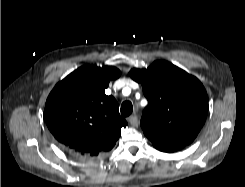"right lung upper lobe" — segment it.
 I'll list each match as a JSON object with an SVG mask.
<instances>
[{
  "instance_id": "right-lung-upper-lobe-1",
  "label": "right lung upper lobe",
  "mask_w": 245,
  "mask_h": 187,
  "mask_svg": "<svg viewBox=\"0 0 245 187\" xmlns=\"http://www.w3.org/2000/svg\"><path fill=\"white\" fill-rule=\"evenodd\" d=\"M115 67L82 66L60 81L44 109L46 124L68 150L87 158L109 152L127 126L112 96L105 95L110 80L120 76Z\"/></svg>"
}]
</instances>
